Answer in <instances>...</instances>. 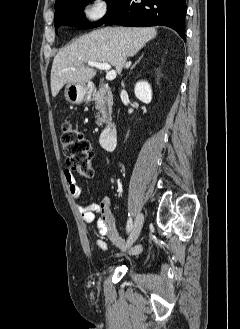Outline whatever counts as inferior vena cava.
<instances>
[{"label": "inferior vena cava", "mask_w": 240, "mask_h": 329, "mask_svg": "<svg viewBox=\"0 0 240 329\" xmlns=\"http://www.w3.org/2000/svg\"><path fill=\"white\" fill-rule=\"evenodd\" d=\"M128 66H129V64H128V63H126V64H125V67H128Z\"/></svg>", "instance_id": "1"}]
</instances>
